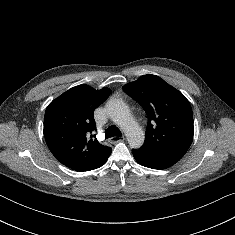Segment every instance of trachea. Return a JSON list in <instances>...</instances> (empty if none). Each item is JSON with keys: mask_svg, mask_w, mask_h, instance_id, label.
I'll list each match as a JSON object with an SVG mask.
<instances>
[{"mask_svg": "<svg viewBox=\"0 0 235 235\" xmlns=\"http://www.w3.org/2000/svg\"><path fill=\"white\" fill-rule=\"evenodd\" d=\"M106 138H111L114 136H122L121 131L116 126H110L105 131Z\"/></svg>", "mask_w": 235, "mask_h": 235, "instance_id": "obj_1", "label": "trachea"}]
</instances>
